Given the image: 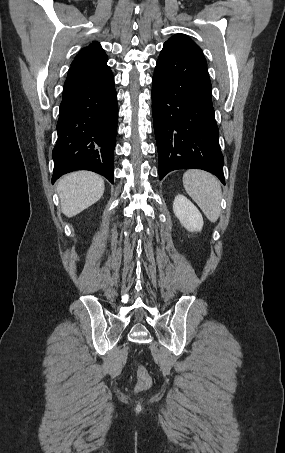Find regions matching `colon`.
<instances>
[{
	"instance_id": "1",
	"label": "colon",
	"mask_w": 285,
	"mask_h": 453,
	"mask_svg": "<svg viewBox=\"0 0 285 453\" xmlns=\"http://www.w3.org/2000/svg\"><path fill=\"white\" fill-rule=\"evenodd\" d=\"M136 373H137V385L136 388L139 391L146 390L151 385V377L147 371V369L142 365L136 366Z\"/></svg>"
}]
</instances>
